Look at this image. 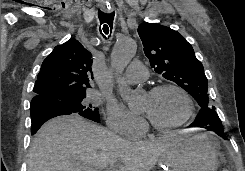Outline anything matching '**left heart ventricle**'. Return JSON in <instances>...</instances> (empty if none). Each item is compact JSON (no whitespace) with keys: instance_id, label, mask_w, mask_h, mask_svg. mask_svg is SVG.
Masks as SVG:
<instances>
[{"instance_id":"left-heart-ventricle-1","label":"left heart ventricle","mask_w":245,"mask_h":171,"mask_svg":"<svg viewBox=\"0 0 245 171\" xmlns=\"http://www.w3.org/2000/svg\"><path fill=\"white\" fill-rule=\"evenodd\" d=\"M185 98L176 90L168 89L154 95L147 94L142 101V111L161 125L180 121L187 112Z\"/></svg>"}]
</instances>
